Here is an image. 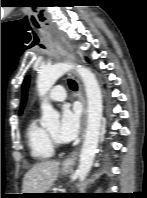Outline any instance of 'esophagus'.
<instances>
[{"mask_svg": "<svg viewBox=\"0 0 147 198\" xmlns=\"http://www.w3.org/2000/svg\"><path fill=\"white\" fill-rule=\"evenodd\" d=\"M67 58L70 61H75V55L74 53H72L71 51H69L67 53ZM78 84H79V94H80V99L83 103V125L85 127L86 125V114H87V108H86V100H85V96H84V89L83 86L78 78ZM77 159V152L71 154L69 157H67L64 161H63V166L64 167H72Z\"/></svg>", "mask_w": 147, "mask_h": 198, "instance_id": "1", "label": "esophagus"}]
</instances>
